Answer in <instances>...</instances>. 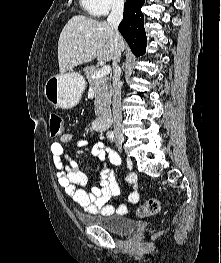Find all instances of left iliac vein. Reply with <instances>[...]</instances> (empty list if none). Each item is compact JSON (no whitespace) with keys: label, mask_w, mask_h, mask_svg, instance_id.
<instances>
[{"label":"left iliac vein","mask_w":221,"mask_h":263,"mask_svg":"<svg viewBox=\"0 0 221 263\" xmlns=\"http://www.w3.org/2000/svg\"><path fill=\"white\" fill-rule=\"evenodd\" d=\"M116 146L118 149L122 148V143L120 142L119 138H117V140H116Z\"/></svg>","instance_id":"left-iliac-vein-1"}]
</instances>
